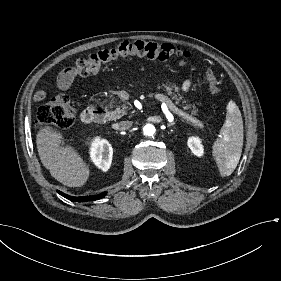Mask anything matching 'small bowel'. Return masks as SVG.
Instances as JSON below:
<instances>
[{"label":"small bowel","mask_w":281,"mask_h":281,"mask_svg":"<svg viewBox=\"0 0 281 281\" xmlns=\"http://www.w3.org/2000/svg\"><path fill=\"white\" fill-rule=\"evenodd\" d=\"M183 66H189L187 63L183 62ZM76 74L73 68L64 69L58 76V86L61 90L65 91L71 86ZM191 87L190 81H185L182 85V91L184 93L188 92ZM37 100L39 102H44L48 99V94L44 87H39L36 91Z\"/></svg>","instance_id":"obj_1"}]
</instances>
